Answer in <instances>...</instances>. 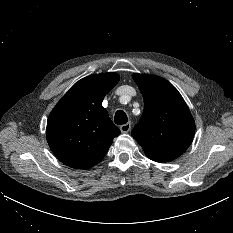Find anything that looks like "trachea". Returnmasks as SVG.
<instances>
[{
    "label": "trachea",
    "instance_id": "trachea-1",
    "mask_svg": "<svg viewBox=\"0 0 233 233\" xmlns=\"http://www.w3.org/2000/svg\"><path fill=\"white\" fill-rule=\"evenodd\" d=\"M114 121H115L116 124L121 125V124L127 123L128 118H127V115L125 114V112L123 110H118L115 113Z\"/></svg>",
    "mask_w": 233,
    "mask_h": 233
}]
</instances>
